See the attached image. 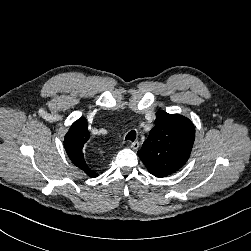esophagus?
I'll return each mask as SVG.
<instances>
[{
    "label": "esophagus",
    "instance_id": "esophagus-1",
    "mask_svg": "<svg viewBox=\"0 0 251 251\" xmlns=\"http://www.w3.org/2000/svg\"><path fill=\"white\" fill-rule=\"evenodd\" d=\"M131 148L134 150H137L139 148V142L138 141L133 142L131 144Z\"/></svg>",
    "mask_w": 251,
    "mask_h": 251
}]
</instances>
